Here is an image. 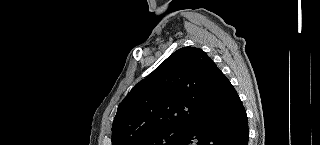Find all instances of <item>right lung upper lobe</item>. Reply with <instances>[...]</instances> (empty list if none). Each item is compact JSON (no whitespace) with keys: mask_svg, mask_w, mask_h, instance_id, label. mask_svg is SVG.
Here are the masks:
<instances>
[{"mask_svg":"<svg viewBox=\"0 0 320 145\" xmlns=\"http://www.w3.org/2000/svg\"><path fill=\"white\" fill-rule=\"evenodd\" d=\"M225 75L200 48H180L137 83L117 109L112 145H131L161 129L185 127L208 114Z\"/></svg>","mask_w":320,"mask_h":145,"instance_id":"1","label":"right lung upper lobe"}]
</instances>
